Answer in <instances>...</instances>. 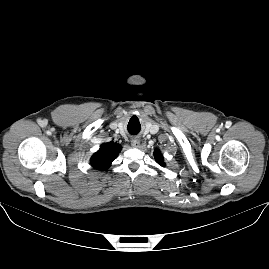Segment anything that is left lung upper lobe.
<instances>
[{
    "label": "left lung upper lobe",
    "mask_w": 269,
    "mask_h": 269,
    "mask_svg": "<svg viewBox=\"0 0 269 269\" xmlns=\"http://www.w3.org/2000/svg\"><path fill=\"white\" fill-rule=\"evenodd\" d=\"M154 157H155V160L158 164H160L161 166H164L163 157H162L161 152L159 150H155Z\"/></svg>",
    "instance_id": "obj_1"
}]
</instances>
